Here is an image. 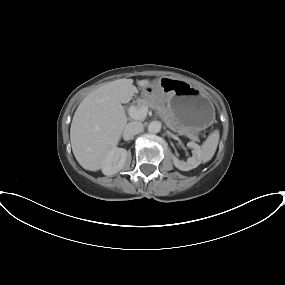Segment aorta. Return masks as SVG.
Wrapping results in <instances>:
<instances>
[{
	"instance_id": "obj_1",
	"label": "aorta",
	"mask_w": 285,
	"mask_h": 285,
	"mask_svg": "<svg viewBox=\"0 0 285 285\" xmlns=\"http://www.w3.org/2000/svg\"><path fill=\"white\" fill-rule=\"evenodd\" d=\"M160 130H161V123L159 121H152L148 125V132L152 134H157L160 132Z\"/></svg>"
}]
</instances>
